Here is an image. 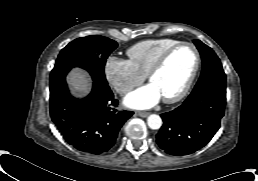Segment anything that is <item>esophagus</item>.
Masks as SVG:
<instances>
[{
	"instance_id": "34e87169",
	"label": "esophagus",
	"mask_w": 258,
	"mask_h": 181,
	"mask_svg": "<svg viewBox=\"0 0 258 181\" xmlns=\"http://www.w3.org/2000/svg\"><path fill=\"white\" fill-rule=\"evenodd\" d=\"M149 114V112H138V115L143 118L147 117Z\"/></svg>"
}]
</instances>
